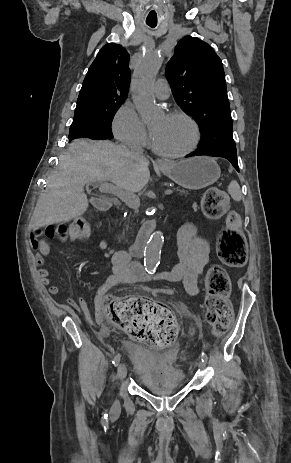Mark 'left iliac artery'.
<instances>
[{"label": "left iliac artery", "mask_w": 291, "mask_h": 463, "mask_svg": "<svg viewBox=\"0 0 291 463\" xmlns=\"http://www.w3.org/2000/svg\"><path fill=\"white\" fill-rule=\"evenodd\" d=\"M201 360H202L203 362L207 363L208 357H207L206 353L202 352Z\"/></svg>", "instance_id": "1"}]
</instances>
